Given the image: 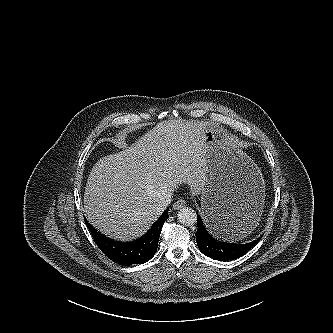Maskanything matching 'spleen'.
Masks as SVG:
<instances>
[{
  "mask_svg": "<svg viewBox=\"0 0 333 333\" xmlns=\"http://www.w3.org/2000/svg\"><path fill=\"white\" fill-rule=\"evenodd\" d=\"M254 212L246 214L242 219L226 225L221 232V237L225 240L234 241L243 238L257 225L258 221Z\"/></svg>",
  "mask_w": 333,
  "mask_h": 333,
  "instance_id": "3e777b00",
  "label": "spleen"
}]
</instances>
